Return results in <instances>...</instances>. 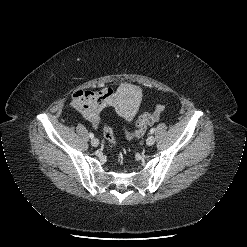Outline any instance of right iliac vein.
Listing matches in <instances>:
<instances>
[{
	"mask_svg": "<svg viewBox=\"0 0 247 247\" xmlns=\"http://www.w3.org/2000/svg\"><path fill=\"white\" fill-rule=\"evenodd\" d=\"M91 144L92 146L97 147L99 145V140L97 138H93L91 140Z\"/></svg>",
	"mask_w": 247,
	"mask_h": 247,
	"instance_id": "1",
	"label": "right iliac vein"
}]
</instances>
